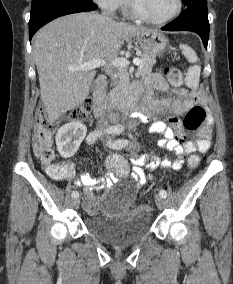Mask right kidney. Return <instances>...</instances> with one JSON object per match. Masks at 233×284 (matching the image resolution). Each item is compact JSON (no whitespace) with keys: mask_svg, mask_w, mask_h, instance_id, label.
<instances>
[{"mask_svg":"<svg viewBox=\"0 0 233 284\" xmlns=\"http://www.w3.org/2000/svg\"><path fill=\"white\" fill-rule=\"evenodd\" d=\"M87 128L79 122L62 126L56 134V145L59 154L64 158L72 157L85 138Z\"/></svg>","mask_w":233,"mask_h":284,"instance_id":"ca27d5eb","label":"right kidney"}]
</instances>
